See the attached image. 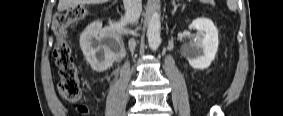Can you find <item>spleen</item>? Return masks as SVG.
<instances>
[{
	"instance_id": "spleen-1",
	"label": "spleen",
	"mask_w": 283,
	"mask_h": 116,
	"mask_svg": "<svg viewBox=\"0 0 283 116\" xmlns=\"http://www.w3.org/2000/svg\"><path fill=\"white\" fill-rule=\"evenodd\" d=\"M227 6L231 11H236L237 1L236 0H227Z\"/></svg>"
}]
</instances>
